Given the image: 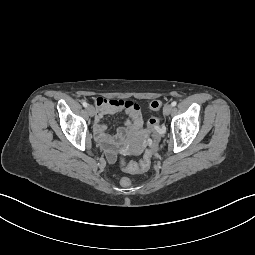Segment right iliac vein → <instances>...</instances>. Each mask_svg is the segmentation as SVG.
<instances>
[{
  "label": "right iliac vein",
  "mask_w": 255,
  "mask_h": 255,
  "mask_svg": "<svg viewBox=\"0 0 255 255\" xmlns=\"http://www.w3.org/2000/svg\"><path fill=\"white\" fill-rule=\"evenodd\" d=\"M87 112H88V114H89L91 117H93L94 114H95V109H94V107H93L92 105H88V106H87Z\"/></svg>",
  "instance_id": "63e3f726"
}]
</instances>
